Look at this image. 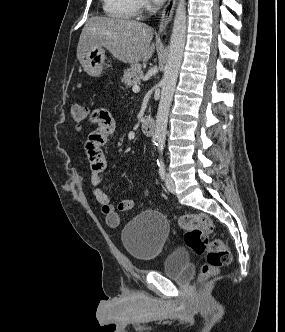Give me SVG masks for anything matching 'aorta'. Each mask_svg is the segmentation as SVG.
<instances>
[{"label":"aorta","mask_w":285,"mask_h":332,"mask_svg":"<svg viewBox=\"0 0 285 332\" xmlns=\"http://www.w3.org/2000/svg\"><path fill=\"white\" fill-rule=\"evenodd\" d=\"M186 39V2L179 0L170 39V49L161 80V99L156 116L155 139L160 154H163L168 115L181 66Z\"/></svg>","instance_id":"1"}]
</instances>
